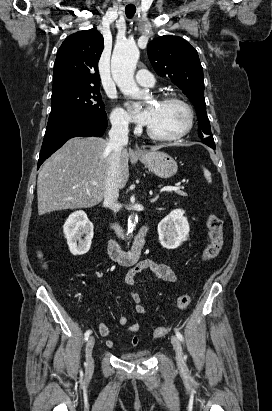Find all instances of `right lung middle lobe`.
<instances>
[{
    "label": "right lung middle lobe",
    "instance_id": "dd1d6c3e",
    "mask_svg": "<svg viewBox=\"0 0 272 411\" xmlns=\"http://www.w3.org/2000/svg\"><path fill=\"white\" fill-rule=\"evenodd\" d=\"M79 117L107 118L99 86L74 88L52 95L47 128Z\"/></svg>",
    "mask_w": 272,
    "mask_h": 411
}]
</instances>
